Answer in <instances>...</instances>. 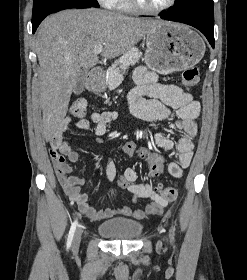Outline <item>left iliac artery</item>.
<instances>
[{"label": "left iliac artery", "mask_w": 247, "mask_h": 280, "mask_svg": "<svg viewBox=\"0 0 247 280\" xmlns=\"http://www.w3.org/2000/svg\"><path fill=\"white\" fill-rule=\"evenodd\" d=\"M171 238L173 239V235L171 234Z\"/></svg>", "instance_id": "1"}]
</instances>
